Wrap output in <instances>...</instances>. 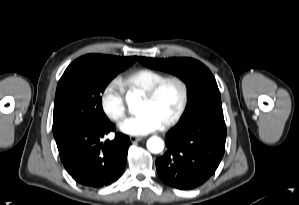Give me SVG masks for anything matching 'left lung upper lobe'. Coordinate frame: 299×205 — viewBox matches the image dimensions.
Here are the masks:
<instances>
[{
    "label": "left lung upper lobe",
    "mask_w": 299,
    "mask_h": 205,
    "mask_svg": "<svg viewBox=\"0 0 299 205\" xmlns=\"http://www.w3.org/2000/svg\"><path fill=\"white\" fill-rule=\"evenodd\" d=\"M148 68L178 76L188 87L189 100L180 121H193L212 112L222 111L220 92L214 76L201 62L191 58L156 59L138 57Z\"/></svg>",
    "instance_id": "5c2ea615"
}]
</instances>
